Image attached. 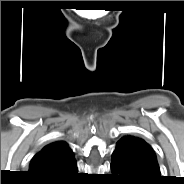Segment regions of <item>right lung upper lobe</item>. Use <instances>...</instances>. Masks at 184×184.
<instances>
[{
	"label": "right lung upper lobe",
	"mask_w": 184,
	"mask_h": 184,
	"mask_svg": "<svg viewBox=\"0 0 184 184\" xmlns=\"http://www.w3.org/2000/svg\"><path fill=\"white\" fill-rule=\"evenodd\" d=\"M73 158L69 146L58 141L45 146L31 161L29 172L34 176L46 175Z\"/></svg>",
	"instance_id": "cb5924a9"
}]
</instances>
